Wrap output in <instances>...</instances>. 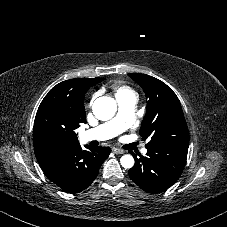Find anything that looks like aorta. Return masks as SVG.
Masks as SVG:
<instances>
[{
    "label": "aorta",
    "mask_w": 227,
    "mask_h": 227,
    "mask_svg": "<svg viewBox=\"0 0 227 227\" xmlns=\"http://www.w3.org/2000/svg\"><path fill=\"white\" fill-rule=\"evenodd\" d=\"M93 114L101 121H106L114 117L117 111L116 101L107 96L97 98L93 103ZM121 166L130 169L134 165V158L129 155H123L120 159Z\"/></svg>",
    "instance_id": "762f6f07"
}]
</instances>
